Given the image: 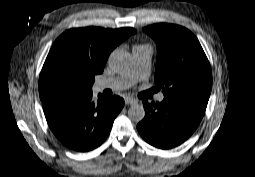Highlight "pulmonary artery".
<instances>
[{
	"label": "pulmonary artery",
	"mask_w": 255,
	"mask_h": 177,
	"mask_svg": "<svg viewBox=\"0 0 255 177\" xmlns=\"http://www.w3.org/2000/svg\"><path fill=\"white\" fill-rule=\"evenodd\" d=\"M134 66L131 70L122 75L104 79L96 84V90L102 91L104 89L121 90L132 86L138 79L148 75L151 68L152 50L149 46L142 48H134L132 51ZM164 95L161 93L157 97L158 102H162Z\"/></svg>",
	"instance_id": "e3ab8cb5"
}]
</instances>
